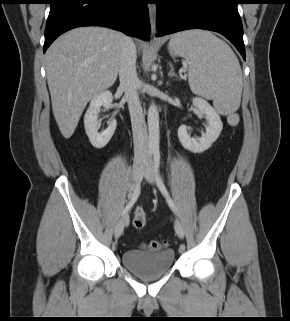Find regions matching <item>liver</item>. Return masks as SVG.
I'll use <instances>...</instances> for the list:
<instances>
[{
    "label": "liver",
    "mask_w": 290,
    "mask_h": 321,
    "mask_svg": "<svg viewBox=\"0 0 290 321\" xmlns=\"http://www.w3.org/2000/svg\"><path fill=\"white\" fill-rule=\"evenodd\" d=\"M126 36L105 27H79L56 39L46 52L52 110L70 138L87 103L117 79Z\"/></svg>",
    "instance_id": "6515ba94"
}]
</instances>
